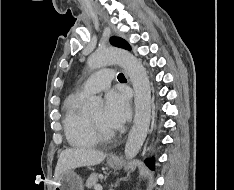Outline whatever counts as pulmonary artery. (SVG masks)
Here are the masks:
<instances>
[{
	"label": "pulmonary artery",
	"mask_w": 234,
	"mask_h": 190,
	"mask_svg": "<svg viewBox=\"0 0 234 190\" xmlns=\"http://www.w3.org/2000/svg\"><path fill=\"white\" fill-rule=\"evenodd\" d=\"M113 73L110 68H103L90 79H88L82 86L80 93L91 94L104 90L108 87L110 81L113 79Z\"/></svg>",
	"instance_id": "e3ab8cb5"
}]
</instances>
